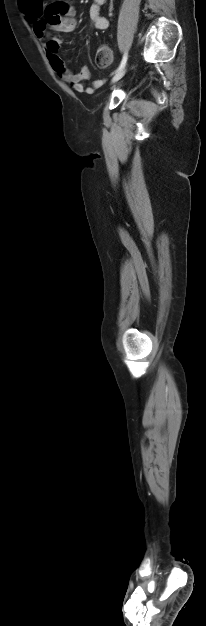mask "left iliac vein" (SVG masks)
I'll use <instances>...</instances> for the list:
<instances>
[{"label":"left iliac vein","instance_id":"obj_1","mask_svg":"<svg viewBox=\"0 0 206 626\" xmlns=\"http://www.w3.org/2000/svg\"><path fill=\"white\" fill-rule=\"evenodd\" d=\"M127 68L124 66L120 71H118L112 78L111 82L115 83L120 80L126 73Z\"/></svg>","mask_w":206,"mask_h":626}]
</instances>
